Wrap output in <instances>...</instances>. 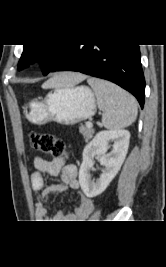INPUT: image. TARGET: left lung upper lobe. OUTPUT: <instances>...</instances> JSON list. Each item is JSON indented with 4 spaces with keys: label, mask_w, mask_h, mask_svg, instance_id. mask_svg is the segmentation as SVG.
I'll return each instance as SVG.
<instances>
[{
    "label": "left lung upper lobe",
    "mask_w": 166,
    "mask_h": 267,
    "mask_svg": "<svg viewBox=\"0 0 166 267\" xmlns=\"http://www.w3.org/2000/svg\"><path fill=\"white\" fill-rule=\"evenodd\" d=\"M65 45H24V50L18 63L22 69L36 61L40 62L43 74H47L57 61Z\"/></svg>",
    "instance_id": "5c2ea615"
}]
</instances>
